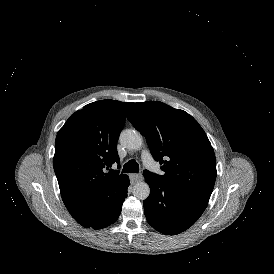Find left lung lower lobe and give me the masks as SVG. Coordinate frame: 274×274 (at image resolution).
I'll return each instance as SVG.
<instances>
[{
    "label": "left lung lower lobe",
    "mask_w": 274,
    "mask_h": 274,
    "mask_svg": "<svg viewBox=\"0 0 274 274\" xmlns=\"http://www.w3.org/2000/svg\"><path fill=\"white\" fill-rule=\"evenodd\" d=\"M150 195L144 200L148 223L157 231L175 235L188 229L201 216L209 199L185 193L158 179L145 176Z\"/></svg>",
    "instance_id": "1"
}]
</instances>
